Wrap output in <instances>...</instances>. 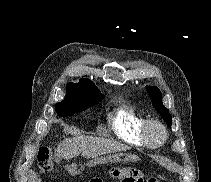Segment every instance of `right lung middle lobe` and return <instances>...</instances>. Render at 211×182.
Wrapping results in <instances>:
<instances>
[{"mask_svg":"<svg viewBox=\"0 0 211 182\" xmlns=\"http://www.w3.org/2000/svg\"><path fill=\"white\" fill-rule=\"evenodd\" d=\"M103 98L101 94L68 83L65 99L56 103L55 111L59 117L70 116L98 104Z\"/></svg>","mask_w":211,"mask_h":182,"instance_id":"1","label":"right lung middle lobe"}]
</instances>
